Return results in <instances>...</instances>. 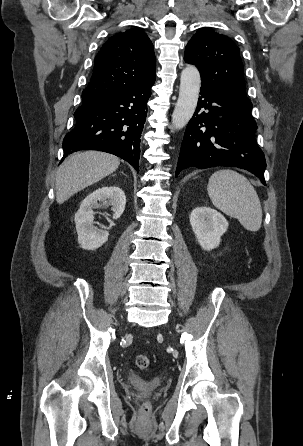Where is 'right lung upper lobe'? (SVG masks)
<instances>
[{"label": "right lung upper lobe", "mask_w": 303, "mask_h": 446, "mask_svg": "<svg viewBox=\"0 0 303 446\" xmlns=\"http://www.w3.org/2000/svg\"><path fill=\"white\" fill-rule=\"evenodd\" d=\"M156 58L145 32L130 29L110 37L95 57L94 72L82 102L155 79Z\"/></svg>", "instance_id": "obj_1"}]
</instances>
